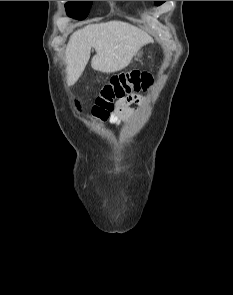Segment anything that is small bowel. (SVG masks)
Segmentation results:
<instances>
[{
    "label": "small bowel",
    "mask_w": 233,
    "mask_h": 295,
    "mask_svg": "<svg viewBox=\"0 0 233 295\" xmlns=\"http://www.w3.org/2000/svg\"><path fill=\"white\" fill-rule=\"evenodd\" d=\"M140 98L136 97V98H124V99H120L118 100L117 104H116V109L114 114L111 117V122L112 123H120L121 121L127 119L128 117H130L135 110L130 108V105L133 102L139 101Z\"/></svg>",
    "instance_id": "obj_1"
}]
</instances>
